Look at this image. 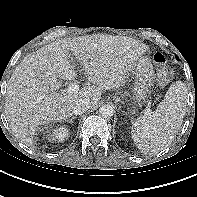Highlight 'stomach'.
Segmentation results:
<instances>
[{
    "instance_id": "1",
    "label": "stomach",
    "mask_w": 197,
    "mask_h": 197,
    "mask_svg": "<svg viewBox=\"0 0 197 197\" xmlns=\"http://www.w3.org/2000/svg\"><path fill=\"white\" fill-rule=\"evenodd\" d=\"M134 76L133 104L142 106L151 97L154 86V70L150 59L146 56L139 57L133 64Z\"/></svg>"
}]
</instances>
